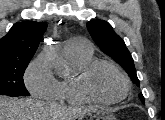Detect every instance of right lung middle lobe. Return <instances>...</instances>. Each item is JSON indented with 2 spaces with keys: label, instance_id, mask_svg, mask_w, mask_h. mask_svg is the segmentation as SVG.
I'll return each instance as SVG.
<instances>
[{
  "label": "right lung middle lobe",
  "instance_id": "right-lung-middle-lobe-1",
  "mask_svg": "<svg viewBox=\"0 0 165 120\" xmlns=\"http://www.w3.org/2000/svg\"><path fill=\"white\" fill-rule=\"evenodd\" d=\"M30 59L0 60V95L30 96L23 75Z\"/></svg>",
  "mask_w": 165,
  "mask_h": 120
}]
</instances>
